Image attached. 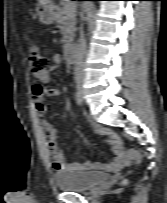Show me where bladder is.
<instances>
[{
    "instance_id": "bladder-1",
    "label": "bladder",
    "mask_w": 167,
    "mask_h": 203,
    "mask_svg": "<svg viewBox=\"0 0 167 203\" xmlns=\"http://www.w3.org/2000/svg\"><path fill=\"white\" fill-rule=\"evenodd\" d=\"M52 177L59 189L68 192L85 191L110 179V175L106 172L72 169L58 170Z\"/></svg>"
}]
</instances>
